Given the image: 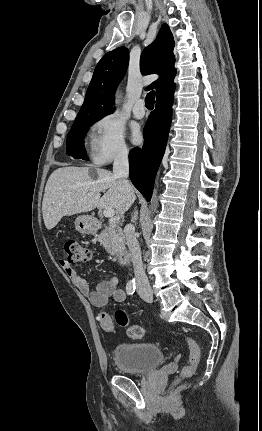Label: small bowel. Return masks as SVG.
<instances>
[{
  "instance_id": "obj_1",
  "label": "small bowel",
  "mask_w": 262,
  "mask_h": 431,
  "mask_svg": "<svg viewBox=\"0 0 262 431\" xmlns=\"http://www.w3.org/2000/svg\"><path fill=\"white\" fill-rule=\"evenodd\" d=\"M62 268L69 276L73 285L85 295L90 303L97 308H104L109 303L110 298L115 303H122L126 300V292L118 287L119 278L114 276L105 281L99 282L95 288L91 289L87 281L79 275L73 267L64 262L61 263Z\"/></svg>"
}]
</instances>
